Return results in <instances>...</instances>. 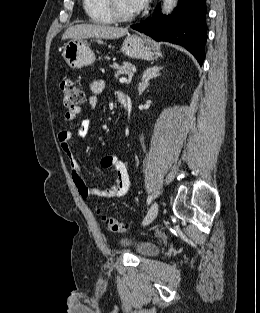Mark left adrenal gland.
<instances>
[{
    "label": "left adrenal gland",
    "mask_w": 260,
    "mask_h": 313,
    "mask_svg": "<svg viewBox=\"0 0 260 313\" xmlns=\"http://www.w3.org/2000/svg\"><path fill=\"white\" fill-rule=\"evenodd\" d=\"M162 69H163V67L153 66V67L146 69L143 72L142 82L139 84V87H138L139 95H141L143 93V91L149 86L150 80H152V79H154L160 75L159 72Z\"/></svg>",
    "instance_id": "left-adrenal-gland-1"
}]
</instances>
